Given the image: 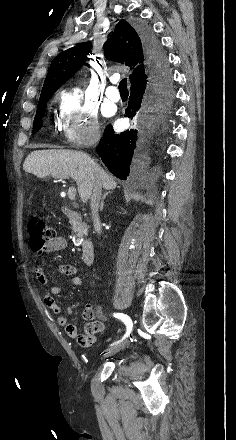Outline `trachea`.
I'll list each match as a JSON object with an SVG mask.
<instances>
[{
  "label": "trachea",
  "instance_id": "3493384b",
  "mask_svg": "<svg viewBox=\"0 0 236 440\" xmlns=\"http://www.w3.org/2000/svg\"><path fill=\"white\" fill-rule=\"evenodd\" d=\"M118 88L120 91H128L127 78H124L120 81Z\"/></svg>",
  "mask_w": 236,
  "mask_h": 440
}]
</instances>
